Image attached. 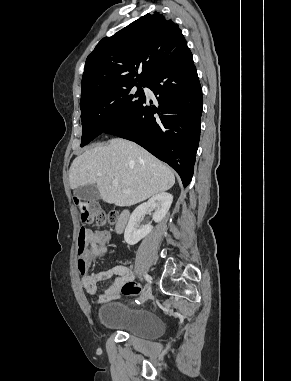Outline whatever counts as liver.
I'll return each instance as SVG.
<instances>
[{
  "label": "liver",
  "mask_w": 291,
  "mask_h": 381,
  "mask_svg": "<svg viewBox=\"0 0 291 381\" xmlns=\"http://www.w3.org/2000/svg\"><path fill=\"white\" fill-rule=\"evenodd\" d=\"M113 180L119 185L114 186ZM173 171L136 143L111 139L74 159L69 170L71 189L95 185L104 202L125 207L169 190Z\"/></svg>",
  "instance_id": "6515ba94"
}]
</instances>
